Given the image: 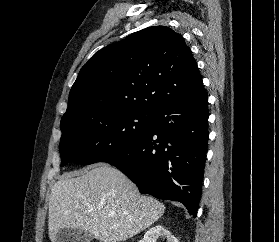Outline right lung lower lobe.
I'll return each instance as SVG.
<instances>
[{
	"label": "right lung lower lobe",
	"mask_w": 279,
	"mask_h": 242,
	"mask_svg": "<svg viewBox=\"0 0 279 242\" xmlns=\"http://www.w3.org/2000/svg\"><path fill=\"white\" fill-rule=\"evenodd\" d=\"M208 116L203 89L155 111L142 139L101 162L121 170L141 193L181 202L195 218L208 147Z\"/></svg>",
	"instance_id": "obj_1"
}]
</instances>
